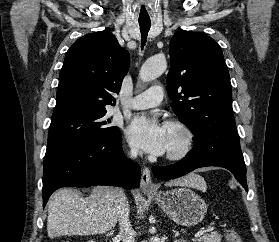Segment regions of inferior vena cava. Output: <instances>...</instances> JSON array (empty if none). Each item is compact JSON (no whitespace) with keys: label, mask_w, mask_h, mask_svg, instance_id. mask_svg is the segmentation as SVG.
Returning <instances> with one entry per match:
<instances>
[{"label":"inferior vena cava","mask_w":279,"mask_h":242,"mask_svg":"<svg viewBox=\"0 0 279 242\" xmlns=\"http://www.w3.org/2000/svg\"><path fill=\"white\" fill-rule=\"evenodd\" d=\"M138 155L137 150H131V157H136ZM119 225H120V232L119 236L122 242H135V232L131 227L130 220H129V207L126 201V197L124 195V203L121 208L119 214Z\"/></svg>","instance_id":"1"}]
</instances>
